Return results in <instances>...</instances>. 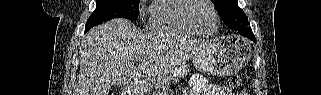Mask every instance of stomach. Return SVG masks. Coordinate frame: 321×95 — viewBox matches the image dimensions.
Listing matches in <instances>:
<instances>
[{
    "mask_svg": "<svg viewBox=\"0 0 321 95\" xmlns=\"http://www.w3.org/2000/svg\"><path fill=\"white\" fill-rule=\"evenodd\" d=\"M250 55V47L239 38L230 37L207 42L200 51L193 56L195 67L208 74L227 76L239 71ZM188 65L183 62L152 83L154 85H165L172 80H179L188 74Z\"/></svg>",
    "mask_w": 321,
    "mask_h": 95,
    "instance_id": "0dacf381",
    "label": "stomach"
}]
</instances>
